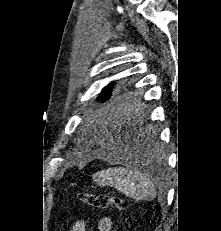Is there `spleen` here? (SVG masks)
<instances>
[{
    "label": "spleen",
    "mask_w": 221,
    "mask_h": 231,
    "mask_svg": "<svg viewBox=\"0 0 221 231\" xmlns=\"http://www.w3.org/2000/svg\"><path fill=\"white\" fill-rule=\"evenodd\" d=\"M94 179L98 184L112 186L136 201L153 200L157 195L154 183L141 171L130 166L102 170L96 173Z\"/></svg>",
    "instance_id": "obj_1"
}]
</instances>
